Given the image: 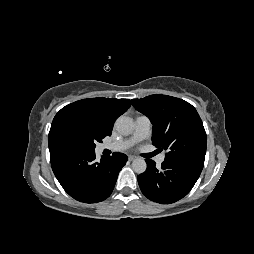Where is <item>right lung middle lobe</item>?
Here are the masks:
<instances>
[{"mask_svg":"<svg viewBox=\"0 0 254 254\" xmlns=\"http://www.w3.org/2000/svg\"><path fill=\"white\" fill-rule=\"evenodd\" d=\"M106 135L94 123L70 119L59 130V141L62 146L94 151L95 143L102 142Z\"/></svg>","mask_w":254,"mask_h":254,"instance_id":"obj_1","label":"right lung middle lobe"}]
</instances>
